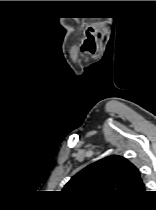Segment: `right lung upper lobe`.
I'll use <instances>...</instances> for the list:
<instances>
[{
	"label": "right lung upper lobe",
	"instance_id": "cb5924a9",
	"mask_svg": "<svg viewBox=\"0 0 156 210\" xmlns=\"http://www.w3.org/2000/svg\"><path fill=\"white\" fill-rule=\"evenodd\" d=\"M63 191L89 202L121 203L144 194L145 185L135 165L112 155L81 170Z\"/></svg>",
	"mask_w": 156,
	"mask_h": 210
}]
</instances>
